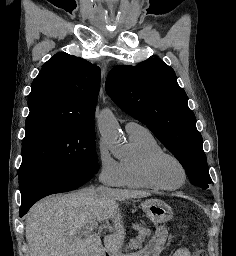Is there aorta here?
Segmentation results:
<instances>
[{
	"label": "aorta",
	"instance_id": "aorta-1",
	"mask_svg": "<svg viewBox=\"0 0 236 256\" xmlns=\"http://www.w3.org/2000/svg\"><path fill=\"white\" fill-rule=\"evenodd\" d=\"M98 128L102 139L110 145L122 142L123 134L115 116L110 109H104L98 117Z\"/></svg>",
	"mask_w": 236,
	"mask_h": 256
}]
</instances>
